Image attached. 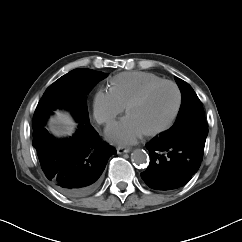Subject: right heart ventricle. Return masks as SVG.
I'll return each mask as SVG.
<instances>
[{
	"mask_svg": "<svg viewBox=\"0 0 242 242\" xmlns=\"http://www.w3.org/2000/svg\"><path fill=\"white\" fill-rule=\"evenodd\" d=\"M163 80L161 77L148 72L130 71L114 76L110 80V89L124 106L152 83Z\"/></svg>",
	"mask_w": 242,
	"mask_h": 242,
	"instance_id": "right-heart-ventricle-1",
	"label": "right heart ventricle"
}]
</instances>
